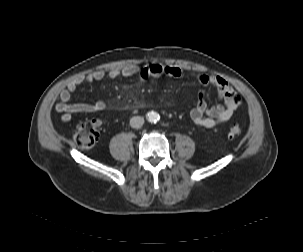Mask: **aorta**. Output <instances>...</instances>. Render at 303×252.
<instances>
[{"label":"aorta","mask_w":303,"mask_h":252,"mask_svg":"<svg viewBox=\"0 0 303 252\" xmlns=\"http://www.w3.org/2000/svg\"><path fill=\"white\" fill-rule=\"evenodd\" d=\"M147 118L149 122L156 123L159 120V114L156 112H149Z\"/></svg>","instance_id":"aorta-1"}]
</instances>
